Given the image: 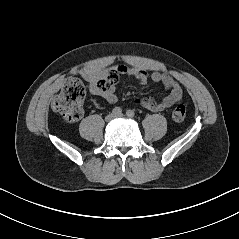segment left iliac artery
Wrapping results in <instances>:
<instances>
[{
	"mask_svg": "<svg viewBox=\"0 0 239 239\" xmlns=\"http://www.w3.org/2000/svg\"><path fill=\"white\" fill-rule=\"evenodd\" d=\"M126 115L129 118H133L135 116V112L133 110H127Z\"/></svg>",
	"mask_w": 239,
	"mask_h": 239,
	"instance_id": "obj_1",
	"label": "left iliac artery"
}]
</instances>
